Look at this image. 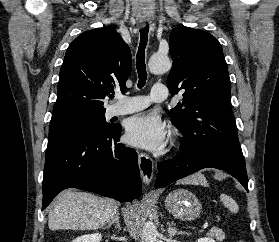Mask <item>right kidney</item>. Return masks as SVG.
I'll list each match as a JSON object with an SVG mask.
<instances>
[{"mask_svg": "<svg viewBox=\"0 0 279 242\" xmlns=\"http://www.w3.org/2000/svg\"><path fill=\"white\" fill-rule=\"evenodd\" d=\"M102 236L100 233L85 234L77 237L72 242H100Z\"/></svg>", "mask_w": 279, "mask_h": 242, "instance_id": "right-kidney-1", "label": "right kidney"}]
</instances>
